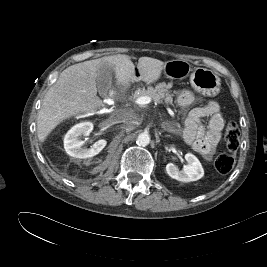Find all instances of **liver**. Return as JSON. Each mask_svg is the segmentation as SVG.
I'll return each instance as SVG.
<instances>
[{"mask_svg": "<svg viewBox=\"0 0 267 267\" xmlns=\"http://www.w3.org/2000/svg\"><path fill=\"white\" fill-rule=\"evenodd\" d=\"M165 63L151 57H140L137 64L139 79L147 84L157 81ZM115 73L116 84L126 86L136 80L135 67L128 55L105 56L66 68L47 91L37 117L40 142L61 122L80 113H92L103 107L97 96L99 80L109 71Z\"/></svg>", "mask_w": 267, "mask_h": 267, "instance_id": "liver-1", "label": "liver"}]
</instances>
